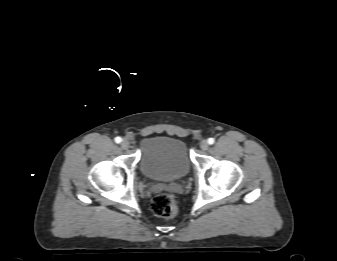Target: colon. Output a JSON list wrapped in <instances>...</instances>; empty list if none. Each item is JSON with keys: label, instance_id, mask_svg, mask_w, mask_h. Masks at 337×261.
Wrapping results in <instances>:
<instances>
[{"label": "colon", "instance_id": "1", "mask_svg": "<svg viewBox=\"0 0 337 261\" xmlns=\"http://www.w3.org/2000/svg\"><path fill=\"white\" fill-rule=\"evenodd\" d=\"M153 213L160 218H174L178 214V204L171 194L161 193L156 195L151 201Z\"/></svg>", "mask_w": 337, "mask_h": 261}]
</instances>
